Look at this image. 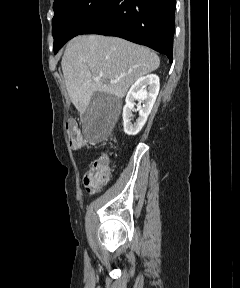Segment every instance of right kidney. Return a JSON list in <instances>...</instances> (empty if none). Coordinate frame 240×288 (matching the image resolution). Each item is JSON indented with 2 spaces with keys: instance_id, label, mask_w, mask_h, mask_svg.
Masks as SVG:
<instances>
[{
  "instance_id": "ca27d5eb",
  "label": "right kidney",
  "mask_w": 240,
  "mask_h": 288,
  "mask_svg": "<svg viewBox=\"0 0 240 288\" xmlns=\"http://www.w3.org/2000/svg\"><path fill=\"white\" fill-rule=\"evenodd\" d=\"M159 89V77L155 74L141 77L131 86L123 108V127L127 135L134 136L142 129L155 103ZM136 99L142 100L143 104L137 107L139 117L136 122L132 123V112L134 111V101Z\"/></svg>"
}]
</instances>
